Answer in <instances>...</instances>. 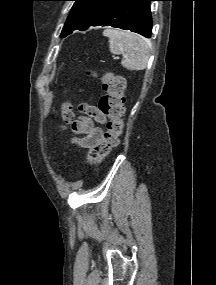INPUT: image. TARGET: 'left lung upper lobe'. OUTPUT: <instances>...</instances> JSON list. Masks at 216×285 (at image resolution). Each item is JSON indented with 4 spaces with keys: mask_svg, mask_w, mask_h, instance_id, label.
<instances>
[{
    "mask_svg": "<svg viewBox=\"0 0 216 285\" xmlns=\"http://www.w3.org/2000/svg\"><path fill=\"white\" fill-rule=\"evenodd\" d=\"M75 1L61 37H66L74 30H84L106 9L114 0H72Z\"/></svg>",
    "mask_w": 216,
    "mask_h": 285,
    "instance_id": "1",
    "label": "left lung upper lobe"
}]
</instances>
